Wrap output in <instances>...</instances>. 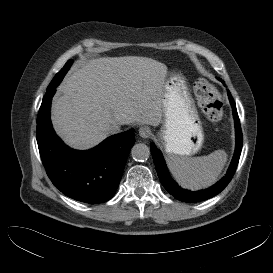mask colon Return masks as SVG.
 <instances>
[{
  "instance_id": "5ec220e1",
  "label": "colon",
  "mask_w": 273,
  "mask_h": 273,
  "mask_svg": "<svg viewBox=\"0 0 273 273\" xmlns=\"http://www.w3.org/2000/svg\"><path fill=\"white\" fill-rule=\"evenodd\" d=\"M194 91L207 120L219 123L224 117V111L217 89L209 82L199 80L194 86Z\"/></svg>"
}]
</instances>
